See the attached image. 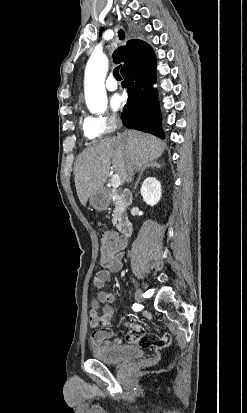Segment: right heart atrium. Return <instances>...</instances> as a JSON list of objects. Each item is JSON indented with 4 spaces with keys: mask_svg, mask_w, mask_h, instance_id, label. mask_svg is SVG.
I'll return each instance as SVG.
<instances>
[{
    "mask_svg": "<svg viewBox=\"0 0 247 413\" xmlns=\"http://www.w3.org/2000/svg\"><path fill=\"white\" fill-rule=\"evenodd\" d=\"M86 116L88 117L87 126L90 133L111 134L115 130V123L113 119L105 120L103 116H99L97 119H94L91 111H88Z\"/></svg>",
    "mask_w": 247,
    "mask_h": 413,
    "instance_id": "1",
    "label": "right heart atrium"
}]
</instances>
